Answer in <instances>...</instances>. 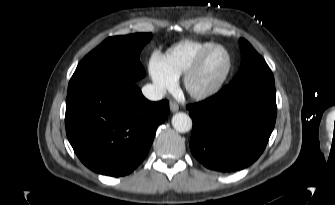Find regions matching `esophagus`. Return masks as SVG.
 Returning <instances> with one entry per match:
<instances>
[{
    "instance_id": "1",
    "label": "esophagus",
    "mask_w": 335,
    "mask_h": 205,
    "mask_svg": "<svg viewBox=\"0 0 335 205\" xmlns=\"http://www.w3.org/2000/svg\"><path fill=\"white\" fill-rule=\"evenodd\" d=\"M170 110L172 112H177L179 110V105L176 102L171 101L170 102Z\"/></svg>"
}]
</instances>
